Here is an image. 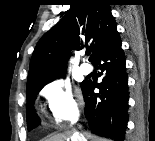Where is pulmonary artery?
Returning <instances> with one entry per match:
<instances>
[{"mask_svg":"<svg viewBox=\"0 0 155 141\" xmlns=\"http://www.w3.org/2000/svg\"><path fill=\"white\" fill-rule=\"evenodd\" d=\"M80 71H81L82 74L88 75L92 71V66L90 64H88V63H83L80 66Z\"/></svg>","mask_w":155,"mask_h":141,"instance_id":"pulmonary-artery-1","label":"pulmonary artery"}]
</instances>
